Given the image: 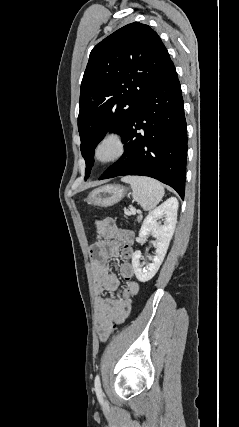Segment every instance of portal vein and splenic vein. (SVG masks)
I'll list each match as a JSON object with an SVG mask.
<instances>
[{"mask_svg": "<svg viewBox=\"0 0 239 427\" xmlns=\"http://www.w3.org/2000/svg\"><path fill=\"white\" fill-rule=\"evenodd\" d=\"M135 213H136L135 208L131 207L130 212H128V215L135 214Z\"/></svg>", "mask_w": 239, "mask_h": 427, "instance_id": "18ae733b", "label": "portal vein and splenic vein"}]
</instances>
